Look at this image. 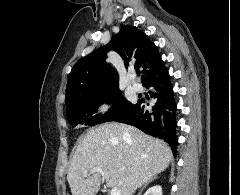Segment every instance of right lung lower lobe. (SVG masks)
<instances>
[{
	"mask_svg": "<svg viewBox=\"0 0 240 195\" xmlns=\"http://www.w3.org/2000/svg\"><path fill=\"white\" fill-rule=\"evenodd\" d=\"M144 87L150 89L151 104L139 100L134 108L113 121L135 126L146 134L164 139L176 154V103L167 69Z\"/></svg>",
	"mask_w": 240,
	"mask_h": 195,
	"instance_id": "right-lung-lower-lobe-1",
	"label": "right lung lower lobe"
}]
</instances>
